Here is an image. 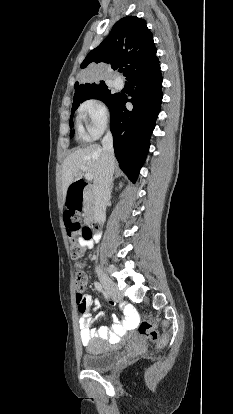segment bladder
<instances>
[{
    "mask_svg": "<svg viewBox=\"0 0 233 414\" xmlns=\"http://www.w3.org/2000/svg\"><path fill=\"white\" fill-rule=\"evenodd\" d=\"M120 359V353L101 340L88 345V353L82 357V366L87 370L103 371L113 367Z\"/></svg>",
    "mask_w": 233,
    "mask_h": 414,
    "instance_id": "bladder-1",
    "label": "bladder"
}]
</instances>
